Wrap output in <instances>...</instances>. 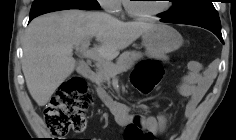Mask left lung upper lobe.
I'll return each instance as SVG.
<instances>
[{"mask_svg":"<svg viewBox=\"0 0 236 140\" xmlns=\"http://www.w3.org/2000/svg\"><path fill=\"white\" fill-rule=\"evenodd\" d=\"M173 6L164 12L172 23H187L221 29L218 12L212 0H172Z\"/></svg>","mask_w":236,"mask_h":140,"instance_id":"obj_1","label":"left lung upper lobe"}]
</instances>
